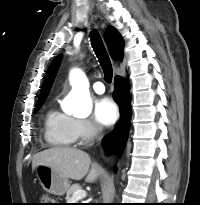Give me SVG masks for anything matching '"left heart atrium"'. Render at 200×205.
Wrapping results in <instances>:
<instances>
[{
  "label": "left heart atrium",
  "instance_id": "39dd6f15",
  "mask_svg": "<svg viewBox=\"0 0 200 205\" xmlns=\"http://www.w3.org/2000/svg\"><path fill=\"white\" fill-rule=\"evenodd\" d=\"M118 115V107L109 97L100 99L95 105V118L104 126H110L115 123Z\"/></svg>",
  "mask_w": 200,
  "mask_h": 205
}]
</instances>
